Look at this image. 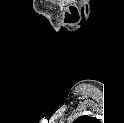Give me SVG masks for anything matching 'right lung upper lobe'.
Listing matches in <instances>:
<instances>
[{"mask_svg":"<svg viewBox=\"0 0 124 123\" xmlns=\"http://www.w3.org/2000/svg\"><path fill=\"white\" fill-rule=\"evenodd\" d=\"M91 118L89 117V116H81V117H79V118H77L76 120H75V122H81V121H86V120H90Z\"/></svg>","mask_w":124,"mask_h":123,"instance_id":"1","label":"right lung upper lobe"}]
</instances>
